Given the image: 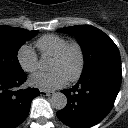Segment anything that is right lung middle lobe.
I'll use <instances>...</instances> for the list:
<instances>
[{"label":"right lung middle lobe","mask_w":128,"mask_h":128,"mask_svg":"<svg viewBox=\"0 0 128 128\" xmlns=\"http://www.w3.org/2000/svg\"><path fill=\"white\" fill-rule=\"evenodd\" d=\"M37 33L38 30L28 31L0 25V75L15 76L24 72L19 64L17 53L19 48Z\"/></svg>","instance_id":"obj_1"}]
</instances>
